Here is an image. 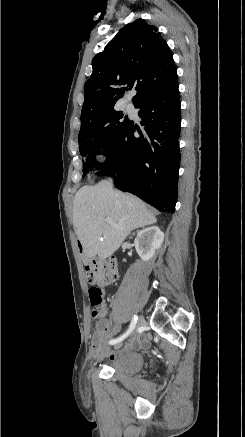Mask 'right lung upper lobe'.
<instances>
[{
  "label": "right lung upper lobe",
  "mask_w": 245,
  "mask_h": 437,
  "mask_svg": "<svg viewBox=\"0 0 245 437\" xmlns=\"http://www.w3.org/2000/svg\"><path fill=\"white\" fill-rule=\"evenodd\" d=\"M93 72L84 86L81 126L90 122L135 87L134 104L141 98L178 85L172 53L144 19L120 29L104 51L92 60Z\"/></svg>",
  "instance_id": "cb5924a9"
}]
</instances>
